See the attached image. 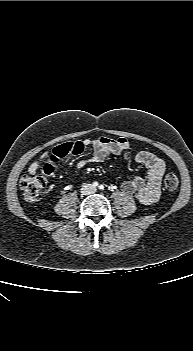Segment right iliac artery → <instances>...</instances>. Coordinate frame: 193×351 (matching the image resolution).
Here are the masks:
<instances>
[{
  "mask_svg": "<svg viewBox=\"0 0 193 351\" xmlns=\"http://www.w3.org/2000/svg\"><path fill=\"white\" fill-rule=\"evenodd\" d=\"M92 186H93L94 188L98 187V182H93Z\"/></svg>",
  "mask_w": 193,
  "mask_h": 351,
  "instance_id": "82829eb1",
  "label": "right iliac artery"
}]
</instances>
